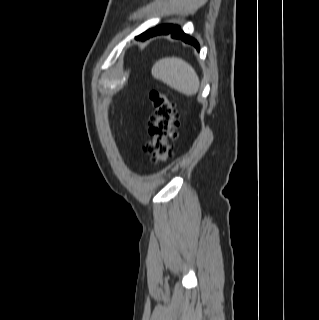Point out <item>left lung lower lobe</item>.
<instances>
[{
	"label": "left lung lower lobe",
	"mask_w": 319,
	"mask_h": 320,
	"mask_svg": "<svg viewBox=\"0 0 319 320\" xmlns=\"http://www.w3.org/2000/svg\"><path fill=\"white\" fill-rule=\"evenodd\" d=\"M161 34H171L172 38L181 39L185 43L192 44L198 51L200 50L198 42L194 38L185 34L178 26L175 25H163L150 29L137 36L136 39L144 41L145 39Z\"/></svg>",
	"instance_id": "obj_1"
}]
</instances>
